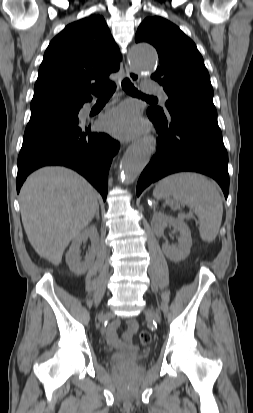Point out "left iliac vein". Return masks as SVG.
Here are the masks:
<instances>
[{
    "label": "left iliac vein",
    "instance_id": "1",
    "mask_svg": "<svg viewBox=\"0 0 253 413\" xmlns=\"http://www.w3.org/2000/svg\"><path fill=\"white\" fill-rule=\"evenodd\" d=\"M144 313L147 317L152 318L157 322H160L161 320L160 314L154 309L148 308L144 311Z\"/></svg>",
    "mask_w": 253,
    "mask_h": 413
}]
</instances>
